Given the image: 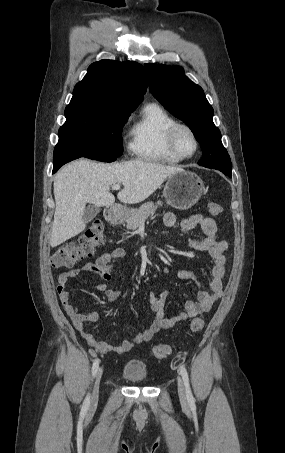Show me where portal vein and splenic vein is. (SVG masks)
Listing matches in <instances>:
<instances>
[{"instance_id":"1","label":"portal vein and splenic vein","mask_w":285,"mask_h":453,"mask_svg":"<svg viewBox=\"0 0 285 453\" xmlns=\"http://www.w3.org/2000/svg\"><path fill=\"white\" fill-rule=\"evenodd\" d=\"M113 190H119L120 189V184H114L112 185Z\"/></svg>"}]
</instances>
